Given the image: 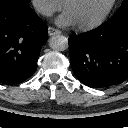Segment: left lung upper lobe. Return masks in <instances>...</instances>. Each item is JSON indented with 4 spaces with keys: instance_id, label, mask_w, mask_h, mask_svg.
I'll use <instances>...</instances> for the list:
<instances>
[{
    "instance_id": "5c2ea615",
    "label": "left lung upper lobe",
    "mask_w": 128,
    "mask_h": 128,
    "mask_svg": "<svg viewBox=\"0 0 128 128\" xmlns=\"http://www.w3.org/2000/svg\"><path fill=\"white\" fill-rule=\"evenodd\" d=\"M127 11H128V0H123L121 7L114 15H119V14H121L123 12H127Z\"/></svg>"
}]
</instances>
